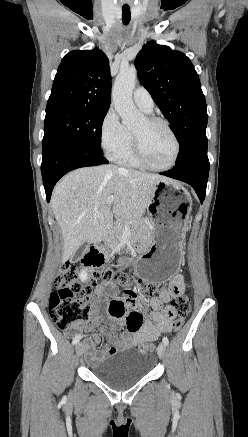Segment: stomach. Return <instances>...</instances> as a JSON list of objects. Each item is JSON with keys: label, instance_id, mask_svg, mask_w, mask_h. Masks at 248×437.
Instances as JSON below:
<instances>
[{"label": "stomach", "instance_id": "stomach-1", "mask_svg": "<svg viewBox=\"0 0 248 437\" xmlns=\"http://www.w3.org/2000/svg\"><path fill=\"white\" fill-rule=\"evenodd\" d=\"M147 210L152 225L150 246L139 256L135 271L140 279H145L146 286H166L167 279L180 266L191 198L181 185L160 181L155 185Z\"/></svg>", "mask_w": 248, "mask_h": 437}]
</instances>
